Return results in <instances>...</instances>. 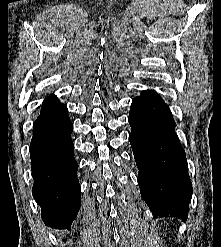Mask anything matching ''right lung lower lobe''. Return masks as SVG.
Instances as JSON below:
<instances>
[{"mask_svg":"<svg viewBox=\"0 0 221 247\" xmlns=\"http://www.w3.org/2000/svg\"><path fill=\"white\" fill-rule=\"evenodd\" d=\"M72 130L67 107L55 95H50L33 125L32 193L41 207L44 223L59 230L71 227L81 203Z\"/></svg>","mask_w":221,"mask_h":247,"instance_id":"obj_1","label":"right lung lower lobe"}]
</instances>
